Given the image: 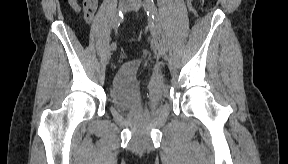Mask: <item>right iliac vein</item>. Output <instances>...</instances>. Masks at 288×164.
<instances>
[{
	"label": "right iliac vein",
	"instance_id": "1",
	"mask_svg": "<svg viewBox=\"0 0 288 164\" xmlns=\"http://www.w3.org/2000/svg\"><path fill=\"white\" fill-rule=\"evenodd\" d=\"M110 58H111V51H108L107 55H106V61L108 62L110 60Z\"/></svg>",
	"mask_w": 288,
	"mask_h": 164
}]
</instances>
